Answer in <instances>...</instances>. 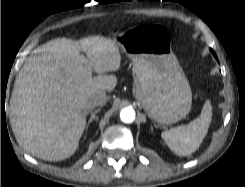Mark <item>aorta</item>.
<instances>
[{
  "mask_svg": "<svg viewBox=\"0 0 245 187\" xmlns=\"http://www.w3.org/2000/svg\"><path fill=\"white\" fill-rule=\"evenodd\" d=\"M120 119L124 123H132L135 120V111L132 108H124L120 112Z\"/></svg>",
  "mask_w": 245,
  "mask_h": 187,
  "instance_id": "762f6f07",
  "label": "aorta"
}]
</instances>
